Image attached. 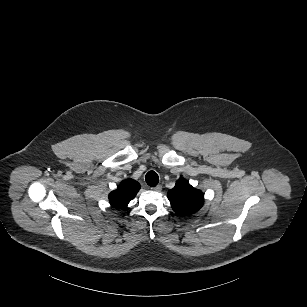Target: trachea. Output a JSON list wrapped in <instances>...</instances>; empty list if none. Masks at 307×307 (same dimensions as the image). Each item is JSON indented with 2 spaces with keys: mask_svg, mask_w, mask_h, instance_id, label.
Listing matches in <instances>:
<instances>
[{
  "mask_svg": "<svg viewBox=\"0 0 307 307\" xmlns=\"http://www.w3.org/2000/svg\"><path fill=\"white\" fill-rule=\"evenodd\" d=\"M145 180H146V183L151 186V187H154L158 184L159 182V177L157 175L156 172L154 171H149L146 176H145Z\"/></svg>",
  "mask_w": 307,
  "mask_h": 307,
  "instance_id": "1",
  "label": "trachea"
}]
</instances>
